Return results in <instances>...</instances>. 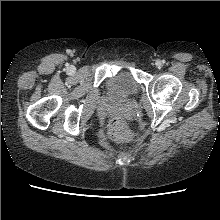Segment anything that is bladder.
I'll return each mask as SVG.
<instances>
[{"mask_svg": "<svg viewBox=\"0 0 220 220\" xmlns=\"http://www.w3.org/2000/svg\"><path fill=\"white\" fill-rule=\"evenodd\" d=\"M108 88L115 98L127 99L137 94L138 83L129 72L122 71L110 79Z\"/></svg>", "mask_w": 220, "mask_h": 220, "instance_id": "bladder-1", "label": "bladder"}]
</instances>
